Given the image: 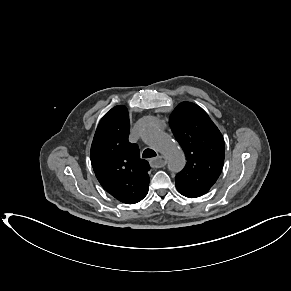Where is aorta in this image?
Instances as JSON below:
<instances>
[{
    "instance_id": "762f6f07",
    "label": "aorta",
    "mask_w": 291,
    "mask_h": 291,
    "mask_svg": "<svg viewBox=\"0 0 291 291\" xmlns=\"http://www.w3.org/2000/svg\"><path fill=\"white\" fill-rule=\"evenodd\" d=\"M142 139L168 158V167L172 171H180L185 166V155L171 136L155 125L143 129Z\"/></svg>"
}]
</instances>
